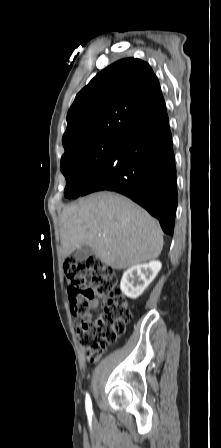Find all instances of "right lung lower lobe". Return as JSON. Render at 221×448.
I'll return each instance as SVG.
<instances>
[{
    "mask_svg": "<svg viewBox=\"0 0 221 448\" xmlns=\"http://www.w3.org/2000/svg\"><path fill=\"white\" fill-rule=\"evenodd\" d=\"M101 190L131 198L173 235L176 167L165 104L121 133L81 196Z\"/></svg>",
    "mask_w": 221,
    "mask_h": 448,
    "instance_id": "right-lung-lower-lobe-1",
    "label": "right lung lower lobe"
}]
</instances>
